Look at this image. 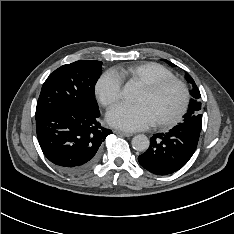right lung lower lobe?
Here are the masks:
<instances>
[{"label":"right lung lower lobe","instance_id":"98d812e1","mask_svg":"<svg viewBox=\"0 0 234 234\" xmlns=\"http://www.w3.org/2000/svg\"><path fill=\"white\" fill-rule=\"evenodd\" d=\"M99 111L85 112L58 106L36 113L40 147L61 171L77 175L88 171L98 160L99 147L112 133L98 123Z\"/></svg>","mask_w":234,"mask_h":234}]
</instances>
